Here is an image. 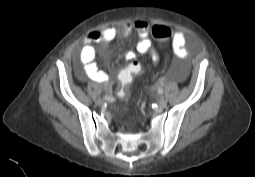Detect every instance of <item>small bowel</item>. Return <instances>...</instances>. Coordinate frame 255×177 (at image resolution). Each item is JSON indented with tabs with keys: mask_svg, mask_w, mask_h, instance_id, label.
<instances>
[{
	"mask_svg": "<svg viewBox=\"0 0 255 177\" xmlns=\"http://www.w3.org/2000/svg\"><path fill=\"white\" fill-rule=\"evenodd\" d=\"M149 24L145 21H136L132 24H125L121 34L126 37L130 33L135 32L139 41L137 43V50L141 54H150L154 62L158 61V55L151 50V41L149 38ZM118 36V31L114 27H107L101 32L90 33L83 41L80 51V68H77V75L83 79L84 77L90 80L103 83L107 85L109 90V76L106 72L99 69L95 62V44L106 46L109 42L113 41ZM185 34L182 31H175L172 38V47L175 55L180 59H185L188 52L185 48ZM126 60L135 59V53L129 51L125 54Z\"/></svg>",
	"mask_w": 255,
	"mask_h": 177,
	"instance_id": "c3829d8e",
	"label": "small bowel"
}]
</instances>
